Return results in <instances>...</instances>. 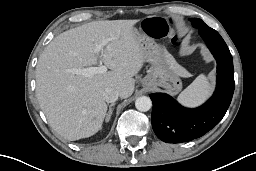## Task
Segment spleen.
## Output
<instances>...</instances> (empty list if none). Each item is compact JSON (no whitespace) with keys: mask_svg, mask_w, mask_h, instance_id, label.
Wrapping results in <instances>:
<instances>
[{"mask_svg":"<svg viewBox=\"0 0 256 171\" xmlns=\"http://www.w3.org/2000/svg\"><path fill=\"white\" fill-rule=\"evenodd\" d=\"M210 93L209 80L204 74H201L179 94L178 101L187 106H194L203 102Z\"/></svg>","mask_w":256,"mask_h":171,"instance_id":"3e777b00","label":"spleen"}]
</instances>
